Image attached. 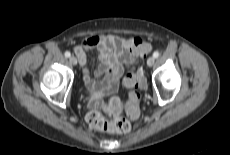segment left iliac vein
Segmentation results:
<instances>
[{"label":"left iliac vein","mask_w":230,"mask_h":155,"mask_svg":"<svg viewBox=\"0 0 230 155\" xmlns=\"http://www.w3.org/2000/svg\"><path fill=\"white\" fill-rule=\"evenodd\" d=\"M154 63H155V58L152 57V56L149 57L148 60H147V65H148L149 67H151V66L154 65Z\"/></svg>","instance_id":"4c4485c4"}]
</instances>
